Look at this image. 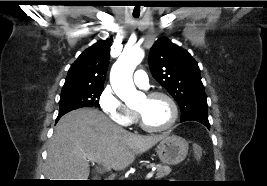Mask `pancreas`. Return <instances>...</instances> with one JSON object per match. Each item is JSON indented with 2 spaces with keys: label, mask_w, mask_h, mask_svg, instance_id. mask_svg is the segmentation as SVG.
Masks as SVG:
<instances>
[{
  "label": "pancreas",
  "mask_w": 267,
  "mask_h": 186,
  "mask_svg": "<svg viewBox=\"0 0 267 186\" xmlns=\"http://www.w3.org/2000/svg\"><path fill=\"white\" fill-rule=\"evenodd\" d=\"M150 166L156 168V176H155L156 179L163 178V177L169 175V173L171 172V168L169 166H166V165L151 164Z\"/></svg>",
  "instance_id": "obj_1"
}]
</instances>
